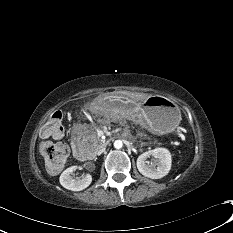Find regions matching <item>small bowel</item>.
Returning a JSON list of instances; mask_svg holds the SVG:
<instances>
[{
	"label": "small bowel",
	"instance_id": "c3829d8e",
	"mask_svg": "<svg viewBox=\"0 0 233 233\" xmlns=\"http://www.w3.org/2000/svg\"><path fill=\"white\" fill-rule=\"evenodd\" d=\"M62 136H63V133L61 132L60 134L55 135V136H53L52 138H54V139H59V138H61Z\"/></svg>",
	"mask_w": 233,
	"mask_h": 233
}]
</instances>
